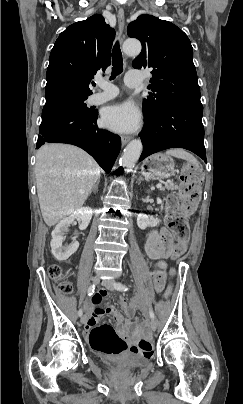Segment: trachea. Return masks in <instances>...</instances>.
Instances as JSON below:
<instances>
[{"instance_id":"trachea-1","label":"trachea","mask_w":243,"mask_h":404,"mask_svg":"<svg viewBox=\"0 0 243 404\" xmlns=\"http://www.w3.org/2000/svg\"><path fill=\"white\" fill-rule=\"evenodd\" d=\"M112 65L113 67L110 80H113L123 71V57L118 41H116L112 50ZM93 85L95 86L96 84L94 83Z\"/></svg>"}]
</instances>
